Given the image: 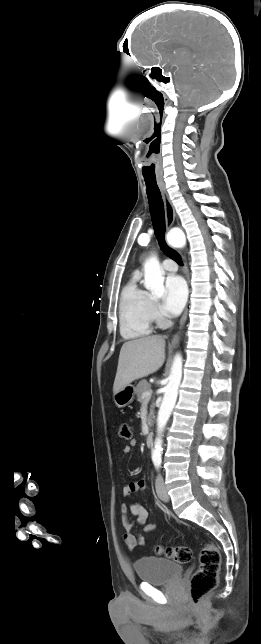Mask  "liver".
I'll use <instances>...</instances> for the list:
<instances>
[{"label":"liver","mask_w":261,"mask_h":644,"mask_svg":"<svg viewBox=\"0 0 261 644\" xmlns=\"http://www.w3.org/2000/svg\"><path fill=\"white\" fill-rule=\"evenodd\" d=\"M165 360V340L162 336H147L125 342L121 347L113 393L134 380L156 372Z\"/></svg>","instance_id":"obj_1"}]
</instances>
